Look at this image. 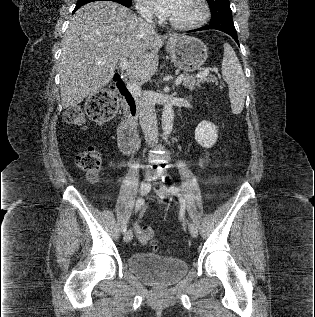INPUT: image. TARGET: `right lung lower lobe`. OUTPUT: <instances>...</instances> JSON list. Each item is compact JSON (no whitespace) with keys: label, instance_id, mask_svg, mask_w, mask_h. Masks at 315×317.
I'll use <instances>...</instances> for the list:
<instances>
[{"label":"right lung lower lobe","instance_id":"right-lung-lower-lobe-1","mask_svg":"<svg viewBox=\"0 0 315 317\" xmlns=\"http://www.w3.org/2000/svg\"><path fill=\"white\" fill-rule=\"evenodd\" d=\"M120 4H122V3H120ZM122 5L127 6V5H125V4H122ZM81 6H82V5H76V7H75L73 13H74L75 11H77Z\"/></svg>","mask_w":315,"mask_h":317}]
</instances>
